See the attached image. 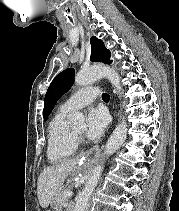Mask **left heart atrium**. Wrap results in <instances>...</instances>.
Returning <instances> with one entry per match:
<instances>
[{"label": "left heart atrium", "mask_w": 179, "mask_h": 211, "mask_svg": "<svg viewBox=\"0 0 179 211\" xmlns=\"http://www.w3.org/2000/svg\"><path fill=\"white\" fill-rule=\"evenodd\" d=\"M109 116L102 108L93 109L87 116L86 137L90 140L99 139L107 129Z\"/></svg>", "instance_id": "1"}]
</instances>
